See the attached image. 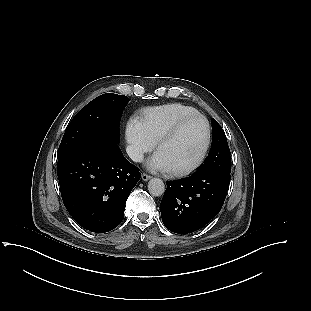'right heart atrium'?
Instances as JSON below:
<instances>
[{
    "mask_svg": "<svg viewBox=\"0 0 311 311\" xmlns=\"http://www.w3.org/2000/svg\"><path fill=\"white\" fill-rule=\"evenodd\" d=\"M125 136L128 153L134 161H141L144 155L150 152L155 146V143L146 133L141 120L137 117H131L127 121Z\"/></svg>",
    "mask_w": 311,
    "mask_h": 311,
    "instance_id": "1",
    "label": "right heart atrium"
}]
</instances>
